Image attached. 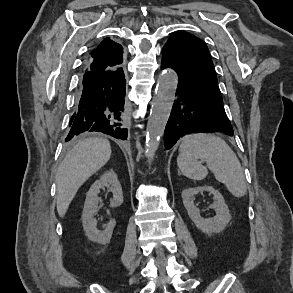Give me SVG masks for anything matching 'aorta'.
I'll return each mask as SVG.
<instances>
[{"mask_svg": "<svg viewBox=\"0 0 293 293\" xmlns=\"http://www.w3.org/2000/svg\"><path fill=\"white\" fill-rule=\"evenodd\" d=\"M178 77L169 69L158 81L155 97L147 124L146 157L150 159L156 152L174 103Z\"/></svg>", "mask_w": 293, "mask_h": 293, "instance_id": "obj_1", "label": "aorta"}]
</instances>
